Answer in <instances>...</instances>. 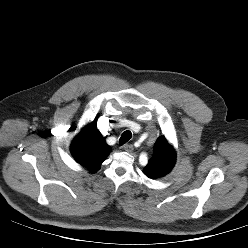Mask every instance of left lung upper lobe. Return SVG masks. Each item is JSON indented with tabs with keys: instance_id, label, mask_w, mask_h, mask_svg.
Masks as SVG:
<instances>
[{
	"instance_id": "1",
	"label": "left lung upper lobe",
	"mask_w": 248,
	"mask_h": 248,
	"mask_svg": "<svg viewBox=\"0 0 248 248\" xmlns=\"http://www.w3.org/2000/svg\"><path fill=\"white\" fill-rule=\"evenodd\" d=\"M175 161L176 152L174 148L164 136L159 137L154 145L153 156L144 168V173L152 179L164 177L172 170Z\"/></svg>"
}]
</instances>
